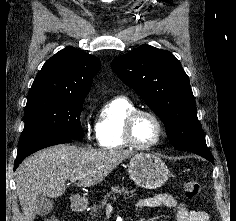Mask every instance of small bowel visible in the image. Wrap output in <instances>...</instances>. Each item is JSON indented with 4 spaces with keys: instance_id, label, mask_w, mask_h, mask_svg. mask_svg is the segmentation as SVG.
Returning a JSON list of instances; mask_svg holds the SVG:
<instances>
[{
    "instance_id": "1",
    "label": "small bowel",
    "mask_w": 236,
    "mask_h": 221,
    "mask_svg": "<svg viewBox=\"0 0 236 221\" xmlns=\"http://www.w3.org/2000/svg\"><path fill=\"white\" fill-rule=\"evenodd\" d=\"M169 207L176 210V221H209V215L203 210H190L185 203L169 194H158L153 197L141 198L136 204L137 211L146 208Z\"/></svg>"
}]
</instances>
